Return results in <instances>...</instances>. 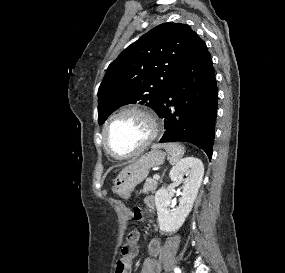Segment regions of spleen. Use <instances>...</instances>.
<instances>
[{"instance_id": "spleen-1", "label": "spleen", "mask_w": 285, "mask_h": 273, "mask_svg": "<svg viewBox=\"0 0 285 273\" xmlns=\"http://www.w3.org/2000/svg\"><path fill=\"white\" fill-rule=\"evenodd\" d=\"M153 148H164L169 154V162L172 165L178 163L185 153L184 146L178 143H164L155 145Z\"/></svg>"}]
</instances>
